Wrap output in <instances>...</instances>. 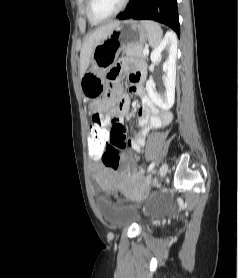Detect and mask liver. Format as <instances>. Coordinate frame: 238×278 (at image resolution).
Wrapping results in <instances>:
<instances>
[{
  "instance_id": "1",
  "label": "liver",
  "mask_w": 238,
  "mask_h": 278,
  "mask_svg": "<svg viewBox=\"0 0 238 278\" xmlns=\"http://www.w3.org/2000/svg\"><path fill=\"white\" fill-rule=\"evenodd\" d=\"M118 23L119 21H113L105 25H102L87 37L80 53L81 77L90 65L94 48L107 37L110 30L113 29Z\"/></svg>"
}]
</instances>
